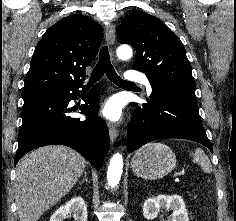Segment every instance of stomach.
Wrapping results in <instances>:
<instances>
[{"label": "stomach", "instance_id": "1", "mask_svg": "<svg viewBox=\"0 0 236 221\" xmlns=\"http://www.w3.org/2000/svg\"><path fill=\"white\" fill-rule=\"evenodd\" d=\"M176 166V156L165 144L149 143L137 150L131 160L132 171L149 180L163 178Z\"/></svg>", "mask_w": 236, "mask_h": 221}]
</instances>
